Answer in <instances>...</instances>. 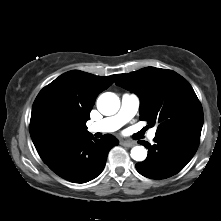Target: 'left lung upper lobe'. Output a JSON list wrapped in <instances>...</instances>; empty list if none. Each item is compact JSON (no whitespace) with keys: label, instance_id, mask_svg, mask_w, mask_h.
<instances>
[{"label":"left lung upper lobe","instance_id":"5c2ea615","mask_svg":"<svg viewBox=\"0 0 221 221\" xmlns=\"http://www.w3.org/2000/svg\"><path fill=\"white\" fill-rule=\"evenodd\" d=\"M140 98V119L158 125L156 135L186 130L201 132L202 106L186 79L172 70L147 67L117 78Z\"/></svg>","mask_w":221,"mask_h":221}]
</instances>
